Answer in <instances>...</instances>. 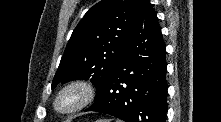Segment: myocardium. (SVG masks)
<instances>
[{
    "instance_id": "myocardium-1",
    "label": "myocardium",
    "mask_w": 221,
    "mask_h": 122,
    "mask_svg": "<svg viewBox=\"0 0 221 122\" xmlns=\"http://www.w3.org/2000/svg\"><path fill=\"white\" fill-rule=\"evenodd\" d=\"M72 95L75 102L69 107L61 105L62 100ZM95 98V88L92 83L84 79H74L65 83L56 93L53 99L54 110L61 115L75 114L92 103Z\"/></svg>"
}]
</instances>
